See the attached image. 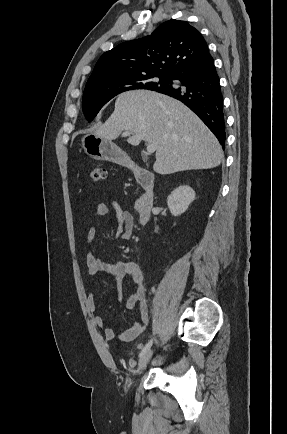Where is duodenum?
Returning a JSON list of instances; mask_svg holds the SVG:
<instances>
[{"label":"duodenum","mask_w":287,"mask_h":434,"mask_svg":"<svg viewBox=\"0 0 287 434\" xmlns=\"http://www.w3.org/2000/svg\"><path fill=\"white\" fill-rule=\"evenodd\" d=\"M127 163L133 166L132 162L127 161ZM134 176L144 189V193L137 201L138 221L141 225H146L150 221L154 204V178L141 167H134Z\"/></svg>","instance_id":"410a0bca"}]
</instances>
